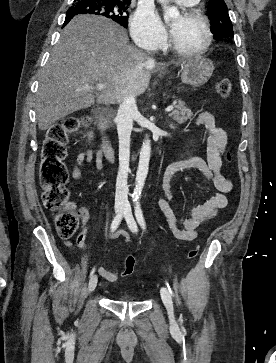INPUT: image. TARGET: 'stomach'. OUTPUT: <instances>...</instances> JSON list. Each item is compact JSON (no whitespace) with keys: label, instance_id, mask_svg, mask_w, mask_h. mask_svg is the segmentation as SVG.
Here are the masks:
<instances>
[{"label":"stomach","instance_id":"obj_1","mask_svg":"<svg viewBox=\"0 0 276 363\" xmlns=\"http://www.w3.org/2000/svg\"><path fill=\"white\" fill-rule=\"evenodd\" d=\"M214 71L213 62L206 58L190 59L184 63L181 73L183 83L192 87L205 84Z\"/></svg>","mask_w":276,"mask_h":363}]
</instances>
